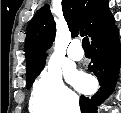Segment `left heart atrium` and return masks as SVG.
Returning <instances> with one entry per match:
<instances>
[{
  "instance_id": "obj_1",
  "label": "left heart atrium",
  "mask_w": 121,
  "mask_h": 113,
  "mask_svg": "<svg viewBox=\"0 0 121 113\" xmlns=\"http://www.w3.org/2000/svg\"><path fill=\"white\" fill-rule=\"evenodd\" d=\"M67 77L70 82L74 83L80 89H86L89 84L88 80L84 76L76 72L68 73Z\"/></svg>"
}]
</instances>
